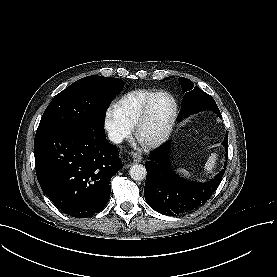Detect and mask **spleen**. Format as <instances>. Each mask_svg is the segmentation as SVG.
<instances>
[{
    "mask_svg": "<svg viewBox=\"0 0 277 277\" xmlns=\"http://www.w3.org/2000/svg\"><path fill=\"white\" fill-rule=\"evenodd\" d=\"M216 160H217V155L215 153H212L204 167L206 172L209 173L212 171V169L215 167ZM177 171L183 174L184 176H188V177L190 176V173L185 169L179 168L177 169Z\"/></svg>",
    "mask_w": 277,
    "mask_h": 277,
    "instance_id": "1",
    "label": "spleen"
}]
</instances>
